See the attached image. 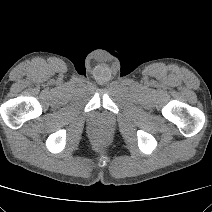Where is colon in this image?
I'll use <instances>...</instances> for the list:
<instances>
[{"label": "colon", "instance_id": "obj_1", "mask_svg": "<svg viewBox=\"0 0 212 212\" xmlns=\"http://www.w3.org/2000/svg\"><path fill=\"white\" fill-rule=\"evenodd\" d=\"M99 140H102V137L101 136H99Z\"/></svg>", "mask_w": 212, "mask_h": 212}]
</instances>
